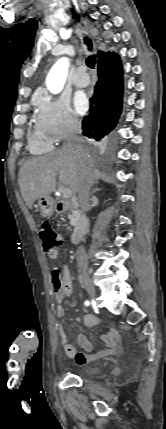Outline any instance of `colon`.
<instances>
[{
	"instance_id": "obj_1",
	"label": "colon",
	"mask_w": 166,
	"mask_h": 429,
	"mask_svg": "<svg viewBox=\"0 0 166 429\" xmlns=\"http://www.w3.org/2000/svg\"><path fill=\"white\" fill-rule=\"evenodd\" d=\"M40 236L46 252L53 251L62 244L61 235L47 221H43L40 225Z\"/></svg>"
}]
</instances>
